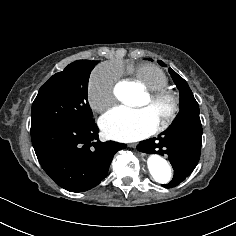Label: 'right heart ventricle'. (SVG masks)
<instances>
[{"instance_id":"e07e8e85","label":"right heart ventricle","mask_w":236,"mask_h":236,"mask_svg":"<svg viewBox=\"0 0 236 236\" xmlns=\"http://www.w3.org/2000/svg\"><path fill=\"white\" fill-rule=\"evenodd\" d=\"M123 72L130 73L133 81L140 83L149 92H155L169 85V79L166 73L154 65L141 64L126 68L123 67L119 73Z\"/></svg>"}]
</instances>
